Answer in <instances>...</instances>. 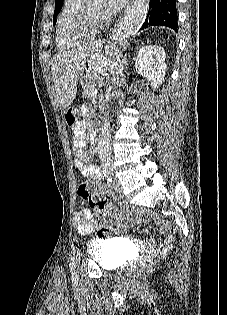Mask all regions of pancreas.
Returning <instances> with one entry per match:
<instances>
[{
    "mask_svg": "<svg viewBox=\"0 0 227 315\" xmlns=\"http://www.w3.org/2000/svg\"><path fill=\"white\" fill-rule=\"evenodd\" d=\"M83 95L87 98L91 97V91L95 89L96 83L94 77L89 75L85 78V81L82 83Z\"/></svg>",
    "mask_w": 227,
    "mask_h": 315,
    "instance_id": "1",
    "label": "pancreas"
}]
</instances>
